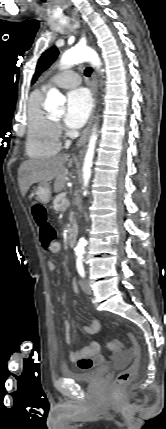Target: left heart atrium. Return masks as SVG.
I'll return each instance as SVG.
<instances>
[{"label":"left heart atrium","instance_id":"1","mask_svg":"<svg viewBox=\"0 0 166 429\" xmlns=\"http://www.w3.org/2000/svg\"><path fill=\"white\" fill-rule=\"evenodd\" d=\"M92 109V98L86 88L79 87L67 94L64 122L70 129L81 127Z\"/></svg>","mask_w":166,"mask_h":429}]
</instances>
